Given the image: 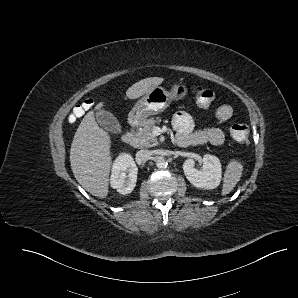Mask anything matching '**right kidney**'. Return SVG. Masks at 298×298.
<instances>
[{"label":"right kidney","mask_w":298,"mask_h":298,"mask_svg":"<svg viewBox=\"0 0 298 298\" xmlns=\"http://www.w3.org/2000/svg\"><path fill=\"white\" fill-rule=\"evenodd\" d=\"M138 167L128 153H120L112 165L110 185L120 194H129L136 186Z\"/></svg>","instance_id":"1"}]
</instances>
